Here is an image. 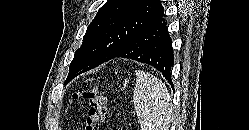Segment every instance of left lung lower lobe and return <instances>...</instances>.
Returning a JSON list of instances; mask_svg holds the SVG:
<instances>
[{"mask_svg":"<svg viewBox=\"0 0 249 130\" xmlns=\"http://www.w3.org/2000/svg\"><path fill=\"white\" fill-rule=\"evenodd\" d=\"M117 57L152 65L163 74L173 88L171 67L174 64V55L163 17L136 34L113 58Z\"/></svg>","mask_w":249,"mask_h":130,"instance_id":"1","label":"left lung lower lobe"}]
</instances>
